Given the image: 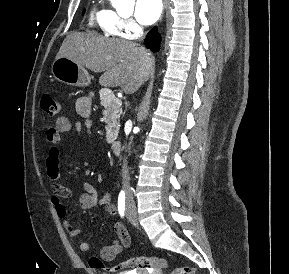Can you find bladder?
Returning <instances> with one entry per match:
<instances>
[{"instance_id": "31cf9c89", "label": "bladder", "mask_w": 289, "mask_h": 274, "mask_svg": "<svg viewBox=\"0 0 289 274\" xmlns=\"http://www.w3.org/2000/svg\"><path fill=\"white\" fill-rule=\"evenodd\" d=\"M118 274H148L146 271H127V272H120Z\"/></svg>"}]
</instances>
